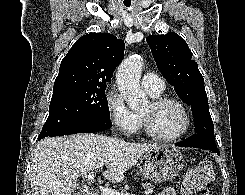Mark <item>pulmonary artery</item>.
Returning a JSON list of instances; mask_svg holds the SVG:
<instances>
[{
	"label": "pulmonary artery",
	"mask_w": 245,
	"mask_h": 195,
	"mask_svg": "<svg viewBox=\"0 0 245 195\" xmlns=\"http://www.w3.org/2000/svg\"><path fill=\"white\" fill-rule=\"evenodd\" d=\"M142 87L149 93L160 94L164 90V81L154 73H145L141 80Z\"/></svg>",
	"instance_id": "e3ab8cb5"
}]
</instances>
